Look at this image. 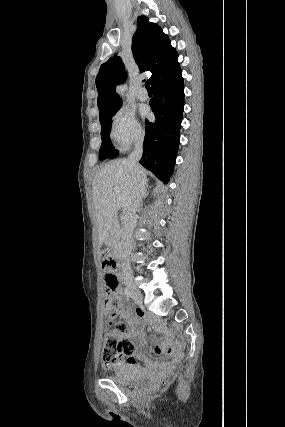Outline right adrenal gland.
<instances>
[{"instance_id": "right-adrenal-gland-1", "label": "right adrenal gland", "mask_w": 285, "mask_h": 427, "mask_svg": "<svg viewBox=\"0 0 285 427\" xmlns=\"http://www.w3.org/2000/svg\"><path fill=\"white\" fill-rule=\"evenodd\" d=\"M148 187V186H147ZM147 195H148V192H147V190L145 191V194H144V199L147 197Z\"/></svg>"}]
</instances>
